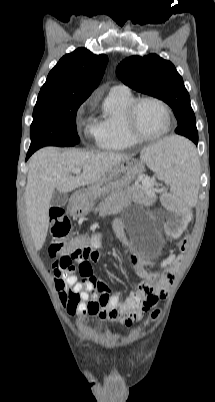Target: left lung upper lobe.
I'll list each match as a JSON object with an SVG mask.
<instances>
[{
	"instance_id": "obj_1",
	"label": "left lung upper lobe",
	"mask_w": 215,
	"mask_h": 402,
	"mask_svg": "<svg viewBox=\"0 0 215 402\" xmlns=\"http://www.w3.org/2000/svg\"><path fill=\"white\" fill-rule=\"evenodd\" d=\"M118 78L134 90L163 100L175 112V132L198 143L196 119L182 77L174 65L156 54L132 56L116 68Z\"/></svg>"
}]
</instances>
